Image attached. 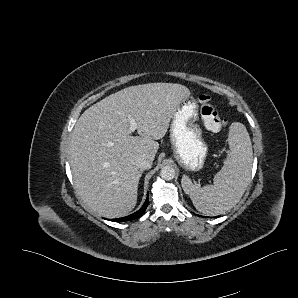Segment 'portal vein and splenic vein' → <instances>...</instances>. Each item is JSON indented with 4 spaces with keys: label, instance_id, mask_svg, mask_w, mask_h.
<instances>
[{
    "label": "portal vein and splenic vein",
    "instance_id": "18ae733b",
    "mask_svg": "<svg viewBox=\"0 0 298 298\" xmlns=\"http://www.w3.org/2000/svg\"><path fill=\"white\" fill-rule=\"evenodd\" d=\"M128 121L130 123L129 133H132L137 129V123L132 116H128Z\"/></svg>",
    "mask_w": 298,
    "mask_h": 298
}]
</instances>
